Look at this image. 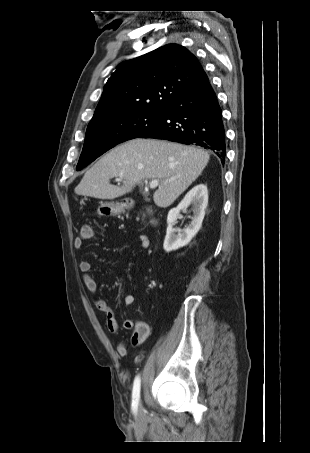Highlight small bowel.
Here are the masks:
<instances>
[{
  "mask_svg": "<svg viewBox=\"0 0 310 453\" xmlns=\"http://www.w3.org/2000/svg\"><path fill=\"white\" fill-rule=\"evenodd\" d=\"M86 240L85 237L78 236L74 239V247L76 249L82 248L84 241ZM140 242L141 246L144 249H147L149 246V239L146 235H140ZM80 271L83 274V282L86 289L95 294L98 289L97 282L91 275L92 264L88 260H83L79 264ZM124 304L126 306H130L134 303V296L132 294H126L123 298ZM95 306L99 312L104 314L105 317V324L110 333L116 334L119 331V324L116 320L115 314L109 304L104 299H97L95 301ZM122 326L125 329L133 330V334L131 336V343L134 346L141 345L149 336L150 334V327L149 325L142 320L133 321L130 319H126L123 321ZM117 354L121 357L127 355V346L124 341L118 343L117 347Z\"/></svg>",
  "mask_w": 310,
  "mask_h": 453,
  "instance_id": "1",
  "label": "small bowel"
}]
</instances>
